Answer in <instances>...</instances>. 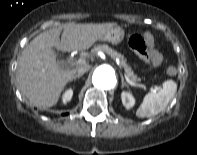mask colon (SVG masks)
Masks as SVG:
<instances>
[{
    "mask_svg": "<svg viewBox=\"0 0 197 155\" xmlns=\"http://www.w3.org/2000/svg\"><path fill=\"white\" fill-rule=\"evenodd\" d=\"M129 45L132 49L141 54H149L153 63L160 62L161 57L154 48L153 43L147 39V36L143 37L139 34H134L130 37ZM167 72L168 74L173 75L175 74V69L172 67L168 68Z\"/></svg>",
    "mask_w": 197,
    "mask_h": 155,
    "instance_id": "5ec220e1",
    "label": "colon"
}]
</instances>
